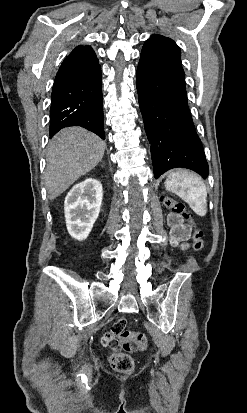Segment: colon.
Segmentation results:
<instances>
[{
  "label": "colon",
  "instance_id": "obj_1",
  "mask_svg": "<svg viewBox=\"0 0 247 413\" xmlns=\"http://www.w3.org/2000/svg\"><path fill=\"white\" fill-rule=\"evenodd\" d=\"M163 205L172 211L176 217H182L183 221L193 225V219L191 214L188 212L185 205L176 199L171 197H164L162 199ZM187 218V219H186ZM192 238V247L195 251H203L204 249V240L203 234L198 229H193L191 235ZM118 340L123 341L124 343L130 342L132 345V350L138 348V353L142 354L144 351L148 350V341L147 337L143 332H121L118 335ZM110 365L118 372L129 373L134 367L135 363L132 357H128L127 353H112L109 357Z\"/></svg>",
  "mask_w": 247,
  "mask_h": 413
}]
</instances>
